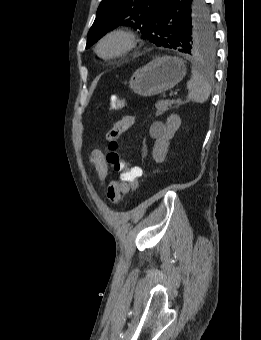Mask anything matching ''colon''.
I'll return each mask as SVG.
<instances>
[{"instance_id": "5ec220e1", "label": "colon", "mask_w": 261, "mask_h": 340, "mask_svg": "<svg viewBox=\"0 0 261 340\" xmlns=\"http://www.w3.org/2000/svg\"><path fill=\"white\" fill-rule=\"evenodd\" d=\"M126 102L122 98L116 96L111 97L110 108L111 110H120L125 106ZM107 162L116 172L121 173V179L126 182L131 189L138 190L140 187L139 177L141 170L137 167H129L126 162L121 160L118 150L119 143L115 140L111 141L108 145Z\"/></svg>"}]
</instances>
